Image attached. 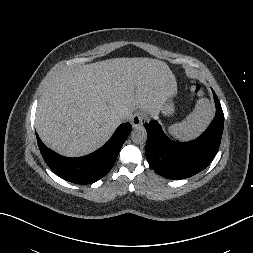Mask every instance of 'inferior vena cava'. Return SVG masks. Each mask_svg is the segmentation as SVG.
<instances>
[{
  "mask_svg": "<svg viewBox=\"0 0 253 253\" xmlns=\"http://www.w3.org/2000/svg\"><path fill=\"white\" fill-rule=\"evenodd\" d=\"M131 118H132V113L120 114V116H119V120L121 122L129 121V120H131Z\"/></svg>",
  "mask_w": 253,
  "mask_h": 253,
  "instance_id": "obj_1",
  "label": "inferior vena cava"
}]
</instances>
